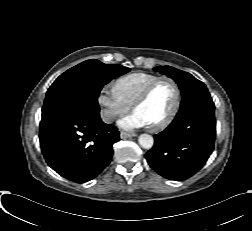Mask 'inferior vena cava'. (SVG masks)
<instances>
[{
    "mask_svg": "<svg viewBox=\"0 0 252 231\" xmlns=\"http://www.w3.org/2000/svg\"><path fill=\"white\" fill-rule=\"evenodd\" d=\"M101 118L105 123H111L115 119V115L110 110H103L101 112Z\"/></svg>",
    "mask_w": 252,
    "mask_h": 231,
    "instance_id": "1",
    "label": "inferior vena cava"
}]
</instances>
